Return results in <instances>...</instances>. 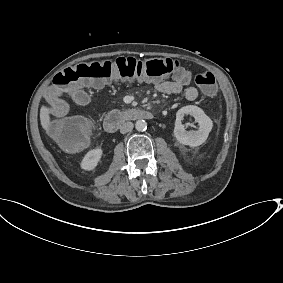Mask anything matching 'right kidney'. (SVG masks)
<instances>
[{
  "label": "right kidney",
  "mask_w": 283,
  "mask_h": 283,
  "mask_svg": "<svg viewBox=\"0 0 283 283\" xmlns=\"http://www.w3.org/2000/svg\"><path fill=\"white\" fill-rule=\"evenodd\" d=\"M101 156H102V149L97 148L90 150L84 156L81 162V168L88 171L93 170L97 166Z\"/></svg>",
  "instance_id": "ca27d5eb"
}]
</instances>
